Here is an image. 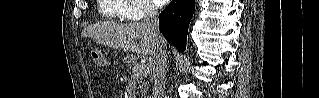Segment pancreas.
Listing matches in <instances>:
<instances>
[{
  "label": "pancreas",
  "instance_id": "obj_1",
  "mask_svg": "<svg viewBox=\"0 0 319 98\" xmlns=\"http://www.w3.org/2000/svg\"><path fill=\"white\" fill-rule=\"evenodd\" d=\"M125 60H126V63L129 64V67H130V68H131L132 66H134V67H135V66H142V65H136L137 58H136V56L133 55V54H131L130 56L126 57ZM132 74H133V75H136V74L134 73V70H132ZM147 74H148V73L143 74V75H138V78L142 79L141 89H142V91H143L144 93L148 92L147 82H145V80H144V78H146Z\"/></svg>",
  "mask_w": 319,
  "mask_h": 98
}]
</instances>
